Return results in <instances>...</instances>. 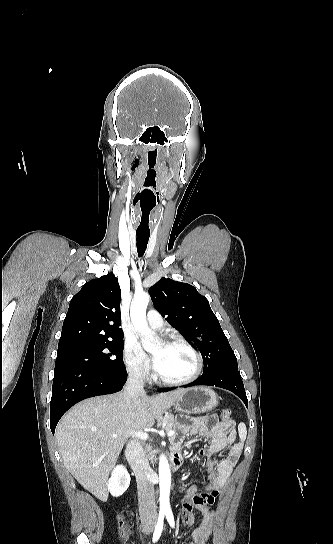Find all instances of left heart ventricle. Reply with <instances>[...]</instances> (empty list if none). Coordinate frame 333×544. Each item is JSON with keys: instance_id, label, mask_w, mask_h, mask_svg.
<instances>
[{"instance_id": "obj_1", "label": "left heart ventricle", "mask_w": 333, "mask_h": 544, "mask_svg": "<svg viewBox=\"0 0 333 544\" xmlns=\"http://www.w3.org/2000/svg\"><path fill=\"white\" fill-rule=\"evenodd\" d=\"M157 357L155 364L159 375L168 380H181L189 377L195 370L194 355L186 348L160 344L153 350Z\"/></svg>"}]
</instances>
